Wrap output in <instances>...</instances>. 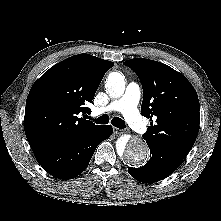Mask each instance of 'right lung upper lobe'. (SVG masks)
Returning <instances> with one entry per match:
<instances>
[{
	"label": "right lung upper lobe",
	"mask_w": 221,
	"mask_h": 221,
	"mask_svg": "<svg viewBox=\"0 0 221 221\" xmlns=\"http://www.w3.org/2000/svg\"><path fill=\"white\" fill-rule=\"evenodd\" d=\"M113 62L89 54L67 58L46 71L26 101L24 130L35 155L79 138L99 126L79 118Z\"/></svg>",
	"instance_id": "cb5924a9"
}]
</instances>
